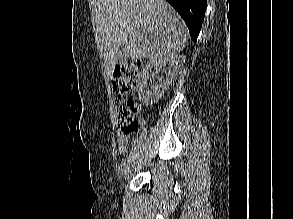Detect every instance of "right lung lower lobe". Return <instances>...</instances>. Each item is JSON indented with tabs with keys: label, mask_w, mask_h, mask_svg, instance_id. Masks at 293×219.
I'll return each instance as SVG.
<instances>
[{
	"label": "right lung lower lobe",
	"mask_w": 293,
	"mask_h": 219,
	"mask_svg": "<svg viewBox=\"0 0 293 219\" xmlns=\"http://www.w3.org/2000/svg\"><path fill=\"white\" fill-rule=\"evenodd\" d=\"M187 24L193 41L197 40L207 7V0H166Z\"/></svg>",
	"instance_id": "98d812e1"
}]
</instances>
